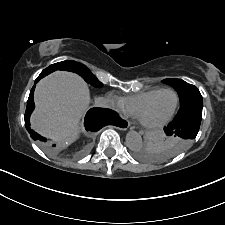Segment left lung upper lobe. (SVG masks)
Here are the masks:
<instances>
[{"label": "left lung upper lobe", "instance_id": "5c2ea615", "mask_svg": "<svg viewBox=\"0 0 225 225\" xmlns=\"http://www.w3.org/2000/svg\"><path fill=\"white\" fill-rule=\"evenodd\" d=\"M164 83L173 86L178 94L180 99V109L177 115H180L184 112H187L192 109H202L203 108V99L197 89L192 84H189L181 79H165ZM192 140H185L178 136H168L163 143L160 153L155 156L143 155V158H156L164 159L176 155L178 150H176L175 145L185 144L184 149L191 143Z\"/></svg>", "mask_w": 225, "mask_h": 225}]
</instances>
